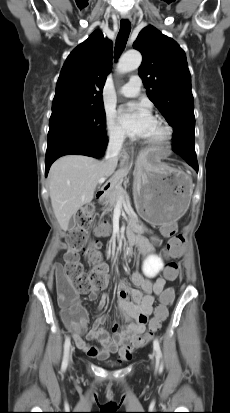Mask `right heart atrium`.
Listing matches in <instances>:
<instances>
[{
	"label": "right heart atrium",
	"mask_w": 230,
	"mask_h": 413,
	"mask_svg": "<svg viewBox=\"0 0 230 413\" xmlns=\"http://www.w3.org/2000/svg\"><path fill=\"white\" fill-rule=\"evenodd\" d=\"M105 131L107 139L110 143L121 146L126 140L125 131L117 124L111 115H107L105 119Z\"/></svg>",
	"instance_id": "obj_1"
}]
</instances>
